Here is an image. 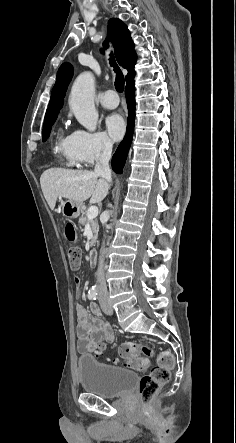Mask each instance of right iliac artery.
Instances as JSON below:
<instances>
[{"label":"right iliac artery","mask_w":236,"mask_h":443,"mask_svg":"<svg viewBox=\"0 0 236 443\" xmlns=\"http://www.w3.org/2000/svg\"><path fill=\"white\" fill-rule=\"evenodd\" d=\"M98 295V291L97 288H95L94 286L89 290L88 292V298L91 300H96Z\"/></svg>","instance_id":"1"}]
</instances>
